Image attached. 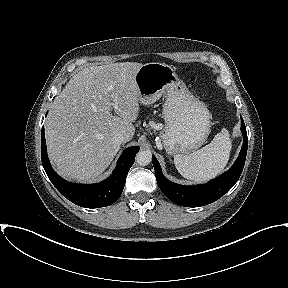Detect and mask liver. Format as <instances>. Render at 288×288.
<instances>
[{"instance_id":"obj_1","label":"liver","mask_w":288,"mask_h":288,"mask_svg":"<svg viewBox=\"0 0 288 288\" xmlns=\"http://www.w3.org/2000/svg\"><path fill=\"white\" fill-rule=\"evenodd\" d=\"M141 66L120 62L84 68L55 97L45 134L49 159L60 176L96 178L120 149L115 135L123 134L125 142L133 138L140 110L134 78Z\"/></svg>"}]
</instances>
